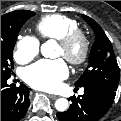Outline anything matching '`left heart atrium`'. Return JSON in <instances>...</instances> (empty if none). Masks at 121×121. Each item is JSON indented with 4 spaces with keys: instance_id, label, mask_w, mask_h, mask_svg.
<instances>
[{
    "instance_id": "39dd6f15",
    "label": "left heart atrium",
    "mask_w": 121,
    "mask_h": 121,
    "mask_svg": "<svg viewBox=\"0 0 121 121\" xmlns=\"http://www.w3.org/2000/svg\"><path fill=\"white\" fill-rule=\"evenodd\" d=\"M68 75V68L63 59L40 60L27 67L23 72L24 80L34 88L54 91Z\"/></svg>"
}]
</instances>
